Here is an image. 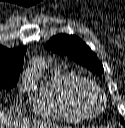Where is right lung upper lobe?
I'll list each match as a JSON object with an SVG mask.
<instances>
[{"label": "right lung upper lobe", "mask_w": 125, "mask_h": 128, "mask_svg": "<svg viewBox=\"0 0 125 128\" xmlns=\"http://www.w3.org/2000/svg\"><path fill=\"white\" fill-rule=\"evenodd\" d=\"M25 52L26 47L10 50L0 45V68L21 70Z\"/></svg>", "instance_id": "obj_1"}]
</instances>
